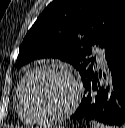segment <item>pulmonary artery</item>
Segmentation results:
<instances>
[{"label": "pulmonary artery", "mask_w": 125, "mask_h": 128, "mask_svg": "<svg viewBox=\"0 0 125 128\" xmlns=\"http://www.w3.org/2000/svg\"><path fill=\"white\" fill-rule=\"evenodd\" d=\"M94 55L97 57V60L101 63V64H104L105 62V59H104V53L103 51H95Z\"/></svg>", "instance_id": "pulmonary-artery-1"}]
</instances>
